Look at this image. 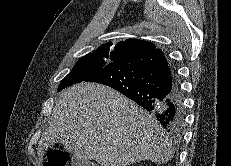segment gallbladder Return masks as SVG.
Instances as JSON below:
<instances>
[{
  "instance_id": "1",
  "label": "gallbladder",
  "mask_w": 231,
  "mask_h": 166,
  "mask_svg": "<svg viewBox=\"0 0 231 166\" xmlns=\"http://www.w3.org/2000/svg\"><path fill=\"white\" fill-rule=\"evenodd\" d=\"M73 166H90V163L87 161L78 160L76 157L72 160Z\"/></svg>"
}]
</instances>
